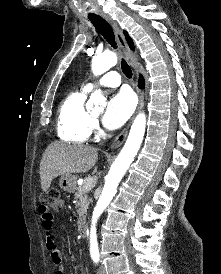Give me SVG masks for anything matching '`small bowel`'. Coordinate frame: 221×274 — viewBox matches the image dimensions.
<instances>
[{
  "mask_svg": "<svg viewBox=\"0 0 221 274\" xmlns=\"http://www.w3.org/2000/svg\"><path fill=\"white\" fill-rule=\"evenodd\" d=\"M38 213L40 216L41 228L45 238L46 248L49 252L52 262L57 266L54 274H65V270L62 265V253L57 247L53 237L54 215L50 211V208L44 204H40L38 206Z\"/></svg>",
  "mask_w": 221,
  "mask_h": 274,
  "instance_id": "obj_1",
  "label": "small bowel"
}]
</instances>
